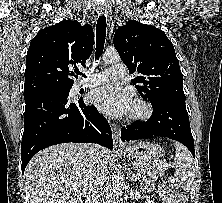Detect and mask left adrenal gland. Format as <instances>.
<instances>
[{
    "mask_svg": "<svg viewBox=\"0 0 222 203\" xmlns=\"http://www.w3.org/2000/svg\"><path fill=\"white\" fill-rule=\"evenodd\" d=\"M129 176L131 181L137 180V175L134 171L131 170V168H127V177L129 178Z\"/></svg>",
    "mask_w": 222,
    "mask_h": 203,
    "instance_id": "a2214340",
    "label": "left adrenal gland"
}]
</instances>
